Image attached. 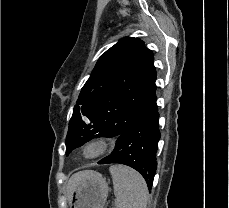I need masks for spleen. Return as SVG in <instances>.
Returning <instances> with one entry per match:
<instances>
[{
    "label": "spleen",
    "mask_w": 229,
    "mask_h": 208,
    "mask_svg": "<svg viewBox=\"0 0 229 208\" xmlns=\"http://www.w3.org/2000/svg\"><path fill=\"white\" fill-rule=\"evenodd\" d=\"M109 172L113 180L116 208H147V184L141 174L121 164L111 166Z\"/></svg>",
    "instance_id": "1"
}]
</instances>
